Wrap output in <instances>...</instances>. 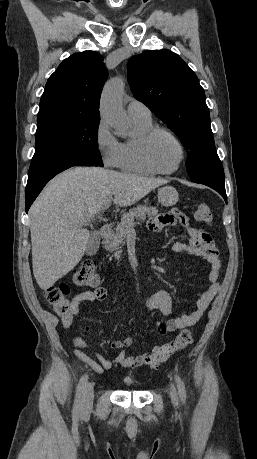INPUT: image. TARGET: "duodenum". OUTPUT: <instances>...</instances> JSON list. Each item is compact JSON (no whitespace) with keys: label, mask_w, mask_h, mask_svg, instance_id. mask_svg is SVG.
<instances>
[{"label":"duodenum","mask_w":257,"mask_h":459,"mask_svg":"<svg viewBox=\"0 0 257 459\" xmlns=\"http://www.w3.org/2000/svg\"><path fill=\"white\" fill-rule=\"evenodd\" d=\"M112 227H113L112 224H105L104 226H102L99 231L100 236L107 237L110 234Z\"/></svg>","instance_id":"duodenum-1"}]
</instances>
